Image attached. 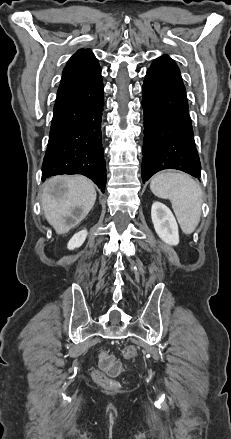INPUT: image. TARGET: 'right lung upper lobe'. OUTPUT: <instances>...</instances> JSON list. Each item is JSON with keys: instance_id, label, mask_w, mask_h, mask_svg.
<instances>
[{"instance_id": "right-lung-upper-lobe-1", "label": "right lung upper lobe", "mask_w": 231, "mask_h": 439, "mask_svg": "<svg viewBox=\"0 0 231 439\" xmlns=\"http://www.w3.org/2000/svg\"><path fill=\"white\" fill-rule=\"evenodd\" d=\"M100 73L98 60L89 49L77 51L69 59L63 70L57 96L88 83Z\"/></svg>"}]
</instances>
